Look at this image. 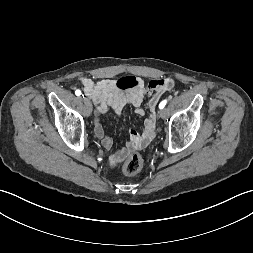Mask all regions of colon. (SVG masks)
Returning a JSON list of instances; mask_svg holds the SVG:
<instances>
[{"label":"colon","mask_w":253,"mask_h":253,"mask_svg":"<svg viewBox=\"0 0 253 253\" xmlns=\"http://www.w3.org/2000/svg\"><path fill=\"white\" fill-rule=\"evenodd\" d=\"M144 161L140 154L134 153L130 155L124 162L122 170L126 175H135L141 171Z\"/></svg>","instance_id":"5ec220e1"}]
</instances>
